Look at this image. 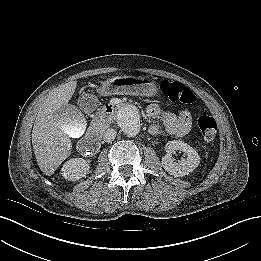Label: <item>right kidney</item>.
Instances as JSON below:
<instances>
[{
	"label": "right kidney",
	"instance_id": "obj_1",
	"mask_svg": "<svg viewBox=\"0 0 261 261\" xmlns=\"http://www.w3.org/2000/svg\"><path fill=\"white\" fill-rule=\"evenodd\" d=\"M84 130L81 131V134ZM89 162L83 158H72L63 164L62 176L69 181H76L89 173Z\"/></svg>",
	"mask_w": 261,
	"mask_h": 261
}]
</instances>
